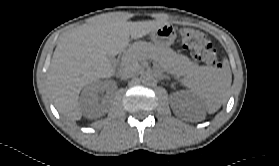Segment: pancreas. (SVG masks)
Instances as JSON below:
<instances>
[{
	"instance_id": "cf45deb5",
	"label": "pancreas",
	"mask_w": 279,
	"mask_h": 166,
	"mask_svg": "<svg viewBox=\"0 0 279 166\" xmlns=\"http://www.w3.org/2000/svg\"><path fill=\"white\" fill-rule=\"evenodd\" d=\"M146 58H158L162 69L170 74L188 73L196 67L186 56L149 42L134 43L132 48L122 57V65L138 69L140 62Z\"/></svg>"
}]
</instances>
